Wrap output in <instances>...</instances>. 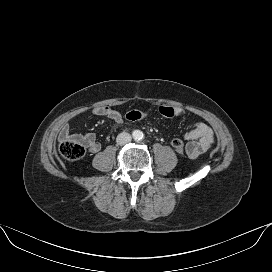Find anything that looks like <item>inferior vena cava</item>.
Returning <instances> with one entry per match:
<instances>
[{"label": "inferior vena cava", "instance_id": "obj_1", "mask_svg": "<svg viewBox=\"0 0 272 272\" xmlns=\"http://www.w3.org/2000/svg\"><path fill=\"white\" fill-rule=\"evenodd\" d=\"M132 137L129 133L126 132H122L120 134H118L117 138H116V142L118 145H125L129 142H131Z\"/></svg>", "mask_w": 272, "mask_h": 272}]
</instances>
